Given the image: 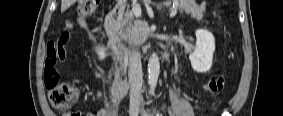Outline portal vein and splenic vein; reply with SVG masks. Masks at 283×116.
I'll list each match as a JSON object with an SVG mask.
<instances>
[{"instance_id": "portal-vein-and-splenic-vein-1", "label": "portal vein and splenic vein", "mask_w": 283, "mask_h": 116, "mask_svg": "<svg viewBox=\"0 0 283 116\" xmlns=\"http://www.w3.org/2000/svg\"><path fill=\"white\" fill-rule=\"evenodd\" d=\"M132 12L135 15V17H140L141 16V7L138 4H134L132 7ZM177 14V8H174L170 12V18L174 17Z\"/></svg>"}]
</instances>
